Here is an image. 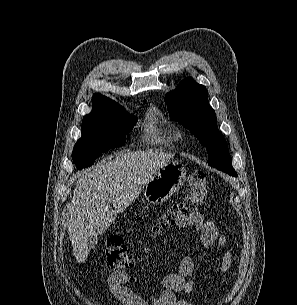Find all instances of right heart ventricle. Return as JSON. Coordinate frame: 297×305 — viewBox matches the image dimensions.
Here are the masks:
<instances>
[{
	"label": "right heart ventricle",
	"instance_id": "obj_1",
	"mask_svg": "<svg viewBox=\"0 0 297 305\" xmlns=\"http://www.w3.org/2000/svg\"><path fill=\"white\" fill-rule=\"evenodd\" d=\"M144 138L153 145H169L175 140L176 134L165 129L154 113H150L144 125Z\"/></svg>",
	"mask_w": 297,
	"mask_h": 305
}]
</instances>
